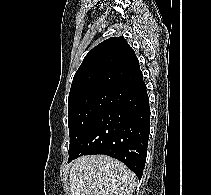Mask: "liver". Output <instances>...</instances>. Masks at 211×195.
<instances>
[{"label": "liver", "mask_w": 211, "mask_h": 195, "mask_svg": "<svg viewBox=\"0 0 211 195\" xmlns=\"http://www.w3.org/2000/svg\"><path fill=\"white\" fill-rule=\"evenodd\" d=\"M70 195H132L135 174L107 155H86L70 169Z\"/></svg>", "instance_id": "1"}]
</instances>
